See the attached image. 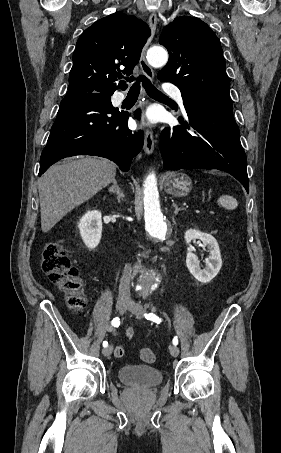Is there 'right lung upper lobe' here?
Returning a JSON list of instances; mask_svg holds the SVG:
<instances>
[{"instance_id": "obj_1", "label": "right lung upper lobe", "mask_w": 281, "mask_h": 453, "mask_svg": "<svg viewBox=\"0 0 281 453\" xmlns=\"http://www.w3.org/2000/svg\"><path fill=\"white\" fill-rule=\"evenodd\" d=\"M149 35L143 21L123 12L95 22L76 43L66 95L111 96L116 89H125L124 82L115 83V73L132 74Z\"/></svg>"}]
</instances>
